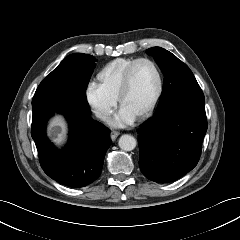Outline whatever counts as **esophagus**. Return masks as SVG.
Instances as JSON below:
<instances>
[{"instance_id":"esophagus-1","label":"esophagus","mask_w":240,"mask_h":240,"mask_svg":"<svg viewBox=\"0 0 240 240\" xmlns=\"http://www.w3.org/2000/svg\"><path fill=\"white\" fill-rule=\"evenodd\" d=\"M119 134L120 133L118 131H115V130L111 131V139H112V141H114L119 136Z\"/></svg>"}]
</instances>
